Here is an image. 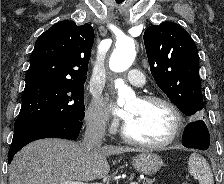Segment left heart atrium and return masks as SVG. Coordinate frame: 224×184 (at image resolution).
I'll use <instances>...</instances> for the list:
<instances>
[{"mask_svg":"<svg viewBox=\"0 0 224 184\" xmlns=\"http://www.w3.org/2000/svg\"><path fill=\"white\" fill-rule=\"evenodd\" d=\"M115 113L125 121L129 118V111L127 109H115Z\"/></svg>","mask_w":224,"mask_h":184,"instance_id":"obj_1","label":"left heart atrium"}]
</instances>
